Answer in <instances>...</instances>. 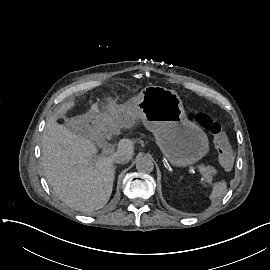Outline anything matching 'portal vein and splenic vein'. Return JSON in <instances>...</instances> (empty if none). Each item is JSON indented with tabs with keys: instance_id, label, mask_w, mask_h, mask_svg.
I'll return each instance as SVG.
<instances>
[{
	"instance_id": "obj_1",
	"label": "portal vein and splenic vein",
	"mask_w": 270,
	"mask_h": 270,
	"mask_svg": "<svg viewBox=\"0 0 270 270\" xmlns=\"http://www.w3.org/2000/svg\"><path fill=\"white\" fill-rule=\"evenodd\" d=\"M101 153L103 155H112L114 153V150L112 148H103L101 150ZM189 170H192V171H199V168H195V166L193 165H189Z\"/></svg>"
}]
</instances>
